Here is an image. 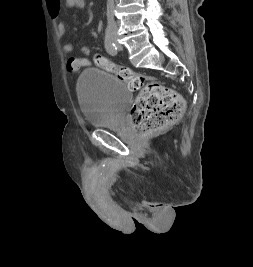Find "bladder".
<instances>
[{"label": "bladder", "mask_w": 253, "mask_h": 267, "mask_svg": "<svg viewBox=\"0 0 253 267\" xmlns=\"http://www.w3.org/2000/svg\"><path fill=\"white\" fill-rule=\"evenodd\" d=\"M77 94L85 122L95 128L113 124L132 98L125 82L92 68L81 73Z\"/></svg>", "instance_id": "1"}]
</instances>
